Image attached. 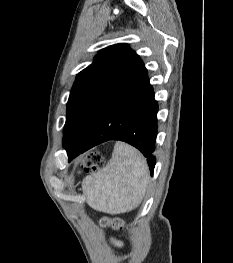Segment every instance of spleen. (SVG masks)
I'll list each match as a JSON object with an SVG mask.
<instances>
[{
	"label": "spleen",
	"instance_id": "3e777b00",
	"mask_svg": "<svg viewBox=\"0 0 233 263\" xmlns=\"http://www.w3.org/2000/svg\"><path fill=\"white\" fill-rule=\"evenodd\" d=\"M149 183V169L143 155L123 142H116L105 167L86 176L82 191L88 205L101 212H129L142 202Z\"/></svg>",
	"mask_w": 233,
	"mask_h": 263
}]
</instances>
